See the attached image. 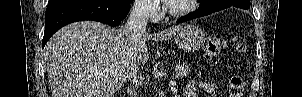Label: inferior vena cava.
<instances>
[{
	"instance_id": "1",
	"label": "inferior vena cava",
	"mask_w": 302,
	"mask_h": 97,
	"mask_svg": "<svg viewBox=\"0 0 302 97\" xmlns=\"http://www.w3.org/2000/svg\"><path fill=\"white\" fill-rule=\"evenodd\" d=\"M150 8V3L147 0H139L134 3L129 18L123 27L125 35L136 38L146 33ZM130 79L129 77L128 80ZM127 93L130 94V97H132L133 94L134 96L137 94L135 89L132 90L129 88Z\"/></svg>"
}]
</instances>
